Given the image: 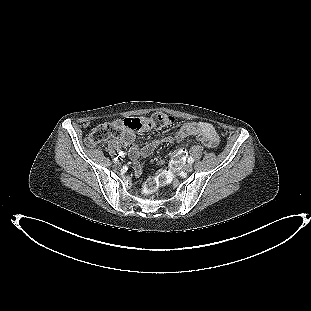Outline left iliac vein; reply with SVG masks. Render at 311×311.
<instances>
[{
    "instance_id": "1",
    "label": "left iliac vein",
    "mask_w": 311,
    "mask_h": 311,
    "mask_svg": "<svg viewBox=\"0 0 311 311\" xmlns=\"http://www.w3.org/2000/svg\"><path fill=\"white\" fill-rule=\"evenodd\" d=\"M193 170V167L191 164H186L184 167H183V171L186 172V173H189Z\"/></svg>"
}]
</instances>
